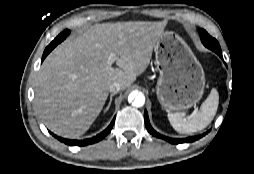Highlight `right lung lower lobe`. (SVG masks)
<instances>
[{
    "mask_svg": "<svg viewBox=\"0 0 254 174\" xmlns=\"http://www.w3.org/2000/svg\"><path fill=\"white\" fill-rule=\"evenodd\" d=\"M69 35L68 32L63 31L61 34H59L50 44L49 46H47V48L45 49L43 56H42V61L45 59V57L60 43L62 42L67 36ZM115 122V118L112 120L111 124L108 126V128L106 130H104L103 132H101L100 134H98L97 136H94L92 138L89 139H85V140H68V139H64L61 137H57L55 134L51 133L55 138H57L59 141L66 143L67 145H72V146H85L88 144H92L95 142L100 141L101 139H103L112 129L113 124Z\"/></svg>",
    "mask_w": 254,
    "mask_h": 174,
    "instance_id": "obj_1",
    "label": "right lung lower lobe"
}]
</instances>
